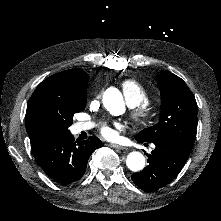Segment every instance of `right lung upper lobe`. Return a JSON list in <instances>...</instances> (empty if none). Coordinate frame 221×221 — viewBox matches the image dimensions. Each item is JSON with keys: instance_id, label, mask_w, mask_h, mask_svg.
<instances>
[{"instance_id": "cb5924a9", "label": "right lung upper lobe", "mask_w": 221, "mask_h": 221, "mask_svg": "<svg viewBox=\"0 0 221 221\" xmlns=\"http://www.w3.org/2000/svg\"><path fill=\"white\" fill-rule=\"evenodd\" d=\"M88 76L81 69H69L45 79L34 92L49 91L58 96L81 99L87 96Z\"/></svg>"}]
</instances>
